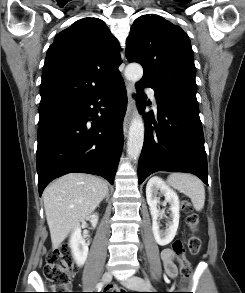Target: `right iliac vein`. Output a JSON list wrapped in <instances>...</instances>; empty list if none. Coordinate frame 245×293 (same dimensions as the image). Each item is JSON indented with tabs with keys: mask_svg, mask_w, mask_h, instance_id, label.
<instances>
[{
	"mask_svg": "<svg viewBox=\"0 0 245 293\" xmlns=\"http://www.w3.org/2000/svg\"><path fill=\"white\" fill-rule=\"evenodd\" d=\"M112 280V274L110 272H106L102 276V281L104 283H109Z\"/></svg>",
	"mask_w": 245,
	"mask_h": 293,
	"instance_id": "63e3f726",
	"label": "right iliac vein"
}]
</instances>
